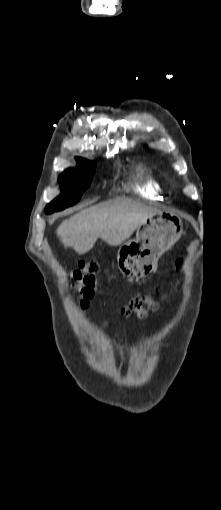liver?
<instances>
[{"label":"liver","instance_id":"6515ba94","mask_svg":"<svg viewBox=\"0 0 221 510\" xmlns=\"http://www.w3.org/2000/svg\"><path fill=\"white\" fill-rule=\"evenodd\" d=\"M161 210L130 199H113L83 209L64 220L56 230L65 248L79 255L90 251L98 238L118 246L143 222Z\"/></svg>","mask_w":221,"mask_h":510}]
</instances>
